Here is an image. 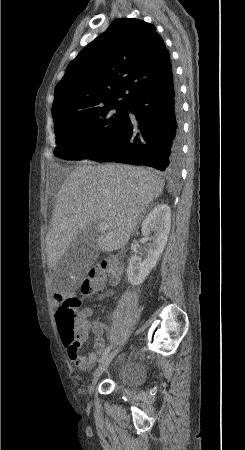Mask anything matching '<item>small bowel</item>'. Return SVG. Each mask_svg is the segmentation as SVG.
Here are the masks:
<instances>
[{
    "instance_id": "small-bowel-1",
    "label": "small bowel",
    "mask_w": 245,
    "mask_h": 450,
    "mask_svg": "<svg viewBox=\"0 0 245 450\" xmlns=\"http://www.w3.org/2000/svg\"><path fill=\"white\" fill-rule=\"evenodd\" d=\"M88 294L101 293L103 297H111L113 295V290L108 289L104 291L103 285L97 286L93 288L91 291L87 292ZM94 317V312L91 309L83 310L79 315V320L83 321L86 324L87 331L93 333L96 337L94 343V352H90L87 356H82L80 354V348L82 343L86 340L87 336L79 335L76 340L78 344L74 343H66L63 341L64 346L67 349L68 357L81 369L90 368L93 363L97 360V356L105 351V341L103 338L104 335V326L99 322L92 321ZM81 358V361H77V357Z\"/></svg>"
}]
</instances>
